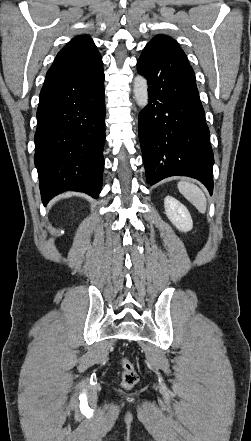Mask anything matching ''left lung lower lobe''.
Segmentation results:
<instances>
[{"mask_svg":"<svg viewBox=\"0 0 251 441\" xmlns=\"http://www.w3.org/2000/svg\"><path fill=\"white\" fill-rule=\"evenodd\" d=\"M137 71L148 82L149 103L139 114L147 183L188 176L201 181L212 194L214 157L209 129L187 57L146 46Z\"/></svg>","mask_w":251,"mask_h":441,"instance_id":"0a47b994","label":"left lung lower lobe"}]
</instances>
